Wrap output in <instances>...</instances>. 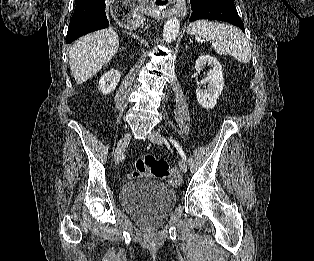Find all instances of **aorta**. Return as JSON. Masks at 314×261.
<instances>
[{"mask_svg": "<svg viewBox=\"0 0 314 261\" xmlns=\"http://www.w3.org/2000/svg\"><path fill=\"white\" fill-rule=\"evenodd\" d=\"M180 21L177 17H171L164 25L163 37L167 43L173 42L179 33Z\"/></svg>", "mask_w": 314, "mask_h": 261, "instance_id": "aorta-1", "label": "aorta"}]
</instances>
